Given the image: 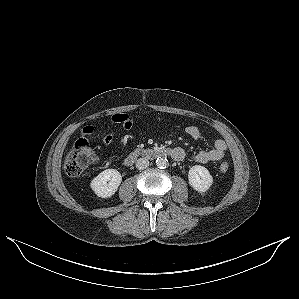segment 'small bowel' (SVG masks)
Segmentation results:
<instances>
[{"label": "small bowel", "mask_w": 299, "mask_h": 299, "mask_svg": "<svg viewBox=\"0 0 299 299\" xmlns=\"http://www.w3.org/2000/svg\"><path fill=\"white\" fill-rule=\"evenodd\" d=\"M111 122L121 125L123 129H129L132 124V120L128 115L125 114H115L111 117ZM187 135L193 140H198L201 137L200 130L196 126H188L185 129ZM95 132V128L92 125H86L81 131L83 137H92ZM114 140V134L108 133L103 139L102 143L104 146H109ZM176 152L175 160L181 161L186 157V153L182 148H174ZM227 152V144L222 139H217L213 143L211 150L199 151L192 155L191 159L198 163H208L212 161L222 160Z\"/></svg>", "instance_id": "small-bowel-1"}]
</instances>
